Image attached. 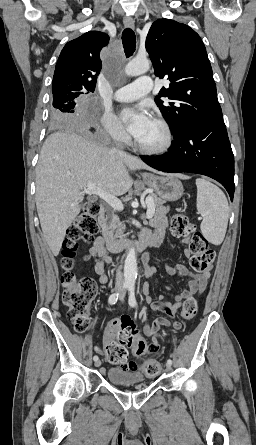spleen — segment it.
<instances>
[{
	"label": "spleen",
	"mask_w": 256,
	"mask_h": 445,
	"mask_svg": "<svg viewBox=\"0 0 256 445\" xmlns=\"http://www.w3.org/2000/svg\"><path fill=\"white\" fill-rule=\"evenodd\" d=\"M197 210L202 215L201 231L205 238L214 245L224 240L229 206L225 194L220 188L203 178L196 179Z\"/></svg>",
	"instance_id": "obj_1"
}]
</instances>
